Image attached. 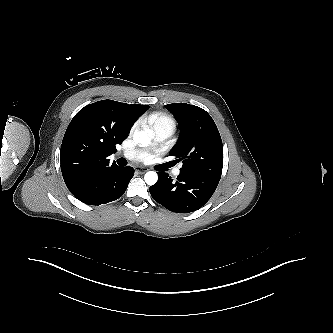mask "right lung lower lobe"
Returning <instances> with one entry per match:
<instances>
[{"label": "right lung lower lobe", "mask_w": 333, "mask_h": 333, "mask_svg": "<svg viewBox=\"0 0 333 333\" xmlns=\"http://www.w3.org/2000/svg\"><path fill=\"white\" fill-rule=\"evenodd\" d=\"M132 167L112 166L89 176L72 193L78 200L89 205H101L120 198L133 177Z\"/></svg>", "instance_id": "right-lung-lower-lobe-1"}]
</instances>
